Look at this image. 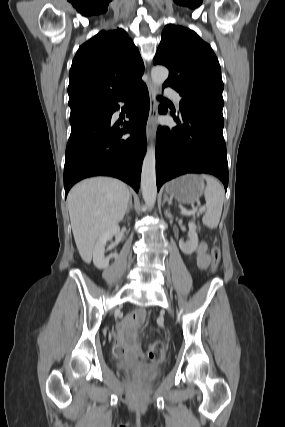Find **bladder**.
Instances as JSON below:
<instances>
[{"label": "bladder", "instance_id": "bladder-1", "mask_svg": "<svg viewBox=\"0 0 285 427\" xmlns=\"http://www.w3.org/2000/svg\"><path fill=\"white\" fill-rule=\"evenodd\" d=\"M119 368L124 372H129V368L124 365H120ZM161 374V370L157 367L149 366L147 368L146 375L149 379H154Z\"/></svg>", "mask_w": 285, "mask_h": 427}]
</instances>
